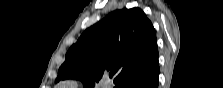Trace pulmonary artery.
I'll return each mask as SVG.
<instances>
[{
	"mask_svg": "<svg viewBox=\"0 0 223 88\" xmlns=\"http://www.w3.org/2000/svg\"><path fill=\"white\" fill-rule=\"evenodd\" d=\"M73 84H75V83L71 81V82L64 83L63 86H68V85H73Z\"/></svg>",
	"mask_w": 223,
	"mask_h": 88,
	"instance_id": "e3ab8cb5",
	"label": "pulmonary artery"
}]
</instances>
